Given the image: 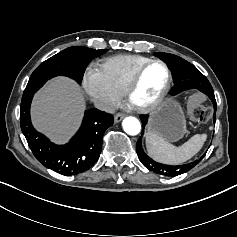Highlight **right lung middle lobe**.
Masks as SVG:
<instances>
[{"label":"right lung middle lobe","instance_id":"right-lung-middle-lobe-1","mask_svg":"<svg viewBox=\"0 0 237 237\" xmlns=\"http://www.w3.org/2000/svg\"><path fill=\"white\" fill-rule=\"evenodd\" d=\"M108 51L94 50L83 46H73L41 63L32 73L23 96L33 95L44 83L58 75L68 76L82 82L89 62Z\"/></svg>","mask_w":237,"mask_h":237}]
</instances>
